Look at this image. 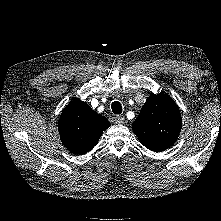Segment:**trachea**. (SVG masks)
I'll use <instances>...</instances> for the list:
<instances>
[{"mask_svg": "<svg viewBox=\"0 0 221 221\" xmlns=\"http://www.w3.org/2000/svg\"><path fill=\"white\" fill-rule=\"evenodd\" d=\"M112 112L114 114H121L122 113V105L118 101H114L111 105Z\"/></svg>", "mask_w": 221, "mask_h": 221, "instance_id": "1", "label": "trachea"}]
</instances>
